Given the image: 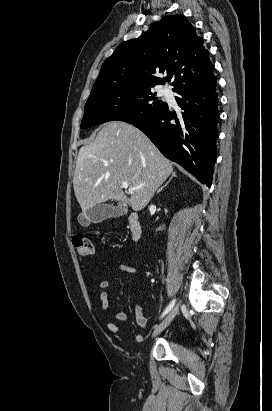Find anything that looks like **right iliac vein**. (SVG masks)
I'll list each match as a JSON object with an SVG mask.
<instances>
[{
  "label": "right iliac vein",
  "instance_id": "obj_1",
  "mask_svg": "<svg viewBox=\"0 0 272 411\" xmlns=\"http://www.w3.org/2000/svg\"><path fill=\"white\" fill-rule=\"evenodd\" d=\"M179 310V304L176 305L170 312L169 314L163 319V321L156 326V328L153 331V337L157 336L158 334H160L170 323L171 321L174 319V317L176 316V314L178 313Z\"/></svg>",
  "mask_w": 272,
  "mask_h": 411
}]
</instances>
